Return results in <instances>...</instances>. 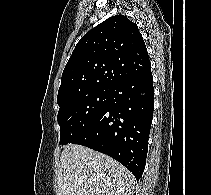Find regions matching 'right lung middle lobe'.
<instances>
[{"instance_id": "dd1d6c3e", "label": "right lung middle lobe", "mask_w": 211, "mask_h": 195, "mask_svg": "<svg viewBox=\"0 0 211 195\" xmlns=\"http://www.w3.org/2000/svg\"><path fill=\"white\" fill-rule=\"evenodd\" d=\"M110 89H92L60 102L57 120L60 145L73 143L101 115L109 103Z\"/></svg>"}]
</instances>
